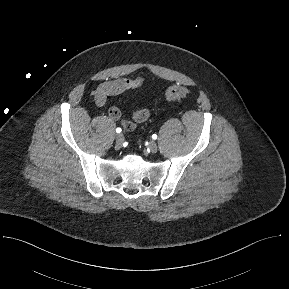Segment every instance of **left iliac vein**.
Returning <instances> with one entry per match:
<instances>
[{
    "instance_id": "obj_1",
    "label": "left iliac vein",
    "mask_w": 289,
    "mask_h": 289,
    "mask_svg": "<svg viewBox=\"0 0 289 289\" xmlns=\"http://www.w3.org/2000/svg\"><path fill=\"white\" fill-rule=\"evenodd\" d=\"M149 150H150L152 153H156V152H157L158 146H157L156 142L151 141V142L149 143Z\"/></svg>"
}]
</instances>
